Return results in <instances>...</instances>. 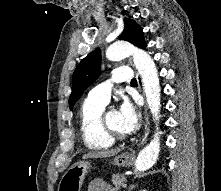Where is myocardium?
Here are the masks:
<instances>
[{"mask_svg":"<svg viewBox=\"0 0 221 191\" xmlns=\"http://www.w3.org/2000/svg\"><path fill=\"white\" fill-rule=\"evenodd\" d=\"M104 123V127L107 130L109 136L113 139V141H124L127 139V135L124 133H121L117 130H115L114 128H112L108 121L107 118L103 120Z\"/></svg>","mask_w":221,"mask_h":191,"instance_id":"f54148a6","label":"myocardium"}]
</instances>
